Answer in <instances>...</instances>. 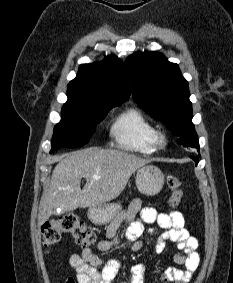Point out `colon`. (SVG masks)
Returning <instances> with one entry per match:
<instances>
[{
  "label": "colon",
  "mask_w": 233,
  "mask_h": 283,
  "mask_svg": "<svg viewBox=\"0 0 233 283\" xmlns=\"http://www.w3.org/2000/svg\"><path fill=\"white\" fill-rule=\"evenodd\" d=\"M166 184L171 192L169 205L175 207L182 197L181 181L178 177L169 175L166 177ZM41 232L43 244L47 248L58 243L64 234L70 235L83 248L91 246L96 239L94 230L73 214H65L45 222ZM64 283L75 282L72 278H68Z\"/></svg>",
  "instance_id": "5ec220e1"
}]
</instances>
